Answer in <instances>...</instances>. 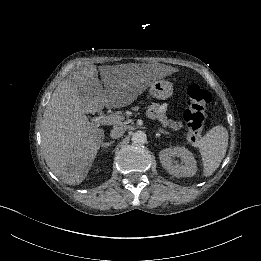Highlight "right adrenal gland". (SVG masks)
<instances>
[{"label":"right adrenal gland","instance_id":"1","mask_svg":"<svg viewBox=\"0 0 261 261\" xmlns=\"http://www.w3.org/2000/svg\"><path fill=\"white\" fill-rule=\"evenodd\" d=\"M113 143H114L113 140H112L110 143H104V144L102 145V150L104 151L105 148H108V147L112 146Z\"/></svg>","mask_w":261,"mask_h":261}]
</instances>
